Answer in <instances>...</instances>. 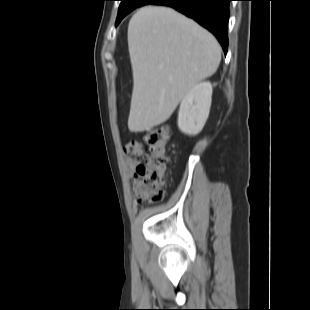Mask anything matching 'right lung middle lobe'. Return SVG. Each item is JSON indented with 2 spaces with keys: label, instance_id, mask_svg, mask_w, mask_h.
<instances>
[{
  "label": "right lung middle lobe",
  "instance_id": "right-lung-middle-lobe-1",
  "mask_svg": "<svg viewBox=\"0 0 310 310\" xmlns=\"http://www.w3.org/2000/svg\"><path fill=\"white\" fill-rule=\"evenodd\" d=\"M152 1L153 0H121L116 25H118L119 22L132 10L143 5L150 4Z\"/></svg>",
  "mask_w": 310,
  "mask_h": 310
}]
</instances>
